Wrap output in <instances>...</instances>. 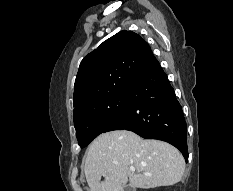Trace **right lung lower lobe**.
<instances>
[{
    "label": "right lung lower lobe",
    "mask_w": 233,
    "mask_h": 191,
    "mask_svg": "<svg viewBox=\"0 0 233 191\" xmlns=\"http://www.w3.org/2000/svg\"><path fill=\"white\" fill-rule=\"evenodd\" d=\"M127 94V108L103 132L129 130L146 139L166 141L178 148L188 161L183 110L154 55Z\"/></svg>",
    "instance_id": "obj_1"
}]
</instances>
